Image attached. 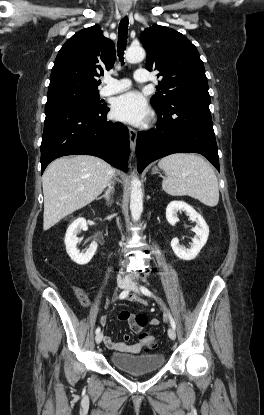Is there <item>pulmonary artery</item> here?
<instances>
[{
	"instance_id": "obj_1",
	"label": "pulmonary artery",
	"mask_w": 264,
	"mask_h": 415,
	"mask_svg": "<svg viewBox=\"0 0 264 415\" xmlns=\"http://www.w3.org/2000/svg\"><path fill=\"white\" fill-rule=\"evenodd\" d=\"M134 79L138 82H148L149 76L147 73L137 71L134 74ZM131 87V81L127 78L117 79L111 76L105 78V86L101 89L102 96L113 95L125 91Z\"/></svg>"
}]
</instances>
